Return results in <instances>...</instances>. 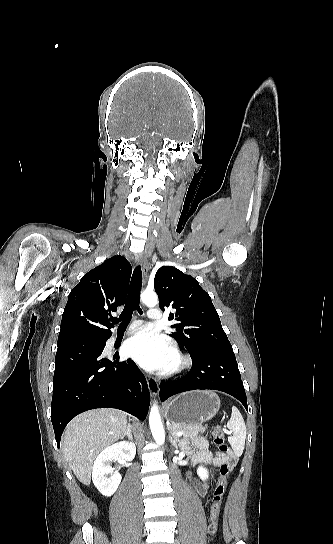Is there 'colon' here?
Masks as SVG:
<instances>
[{"label":"colon","mask_w":333,"mask_h":544,"mask_svg":"<svg viewBox=\"0 0 333 544\" xmlns=\"http://www.w3.org/2000/svg\"><path fill=\"white\" fill-rule=\"evenodd\" d=\"M213 443L214 446L222 453L227 452L228 447L225 442L223 430L221 424L215 427L213 433ZM230 472V467L227 464H222L220 466V476L213 488L212 497H211V507H210V518H209V534L213 537L218 530L219 515L221 510V505L223 501V496L227 488V479Z\"/></svg>","instance_id":"5ec220e1"}]
</instances>
